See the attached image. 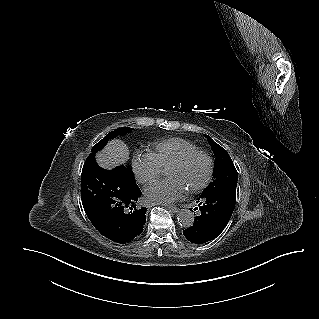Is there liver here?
Instances as JSON below:
<instances>
[{
	"label": "liver",
	"instance_id": "6515ba94",
	"mask_svg": "<svg viewBox=\"0 0 319 319\" xmlns=\"http://www.w3.org/2000/svg\"><path fill=\"white\" fill-rule=\"evenodd\" d=\"M128 159L129 149L123 141L118 139L110 141L103 151L96 156L98 164L105 169L124 164Z\"/></svg>",
	"mask_w": 319,
	"mask_h": 319
}]
</instances>
